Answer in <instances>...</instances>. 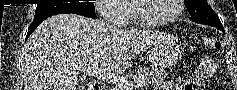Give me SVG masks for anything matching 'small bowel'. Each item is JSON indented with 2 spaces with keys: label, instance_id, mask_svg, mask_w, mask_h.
<instances>
[{
  "label": "small bowel",
  "instance_id": "small-bowel-1",
  "mask_svg": "<svg viewBox=\"0 0 237 90\" xmlns=\"http://www.w3.org/2000/svg\"><path fill=\"white\" fill-rule=\"evenodd\" d=\"M214 65L210 62L202 63L196 74L188 79L175 78L162 80L157 83L154 90H201V84L214 73Z\"/></svg>",
  "mask_w": 237,
  "mask_h": 90
}]
</instances>
